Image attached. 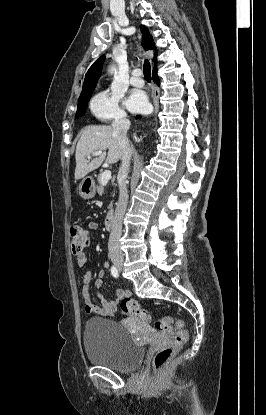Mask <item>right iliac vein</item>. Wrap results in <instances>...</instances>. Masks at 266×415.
Instances as JSON below:
<instances>
[{
    "label": "right iliac vein",
    "mask_w": 266,
    "mask_h": 415,
    "mask_svg": "<svg viewBox=\"0 0 266 415\" xmlns=\"http://www.w3.org/2000/svg\"><path fill=\"white\" fill-rule=\"evenodd\" d=\"M113 263L115 264V266H116L117 268H119V269H121V268H122V263H123V261H122L121 259H114V260H113Z\"/></svg>",
    "instance_id": "1"
}]
</instances>
